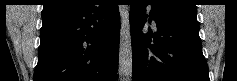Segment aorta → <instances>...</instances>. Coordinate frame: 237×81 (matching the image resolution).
I'll return each instance as SVG.
<instances>
[{"label":"aorta","mask_w":237,"mask_h":81,"mask_svg":"<svg viewBox=\"0 0 237 81\" xmlns=\"http://www.w3.org/2000/svg\"><path fill=\"white\" fill-rule=\"evenodd\" d=\"M121 30L119 43V81H131L132 79V45L130 25L128 19V7L121 8Z\"/></svg>","instance_id":"obj_1"}]
</instances>
